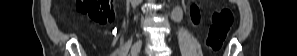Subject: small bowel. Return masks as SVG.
Returning <instances> with one entry per match:
<instances>
[{"label": "small bowel", "instance_id": "obj_1", "mask_svg": "<svg viewBox=\"0 0 297 56\" xmlns=\"http://www.w3.org/2000/svg\"><path fill=\"white\" fill-rule=\"evenodd\" d=\"M191 17L195 24H197L200 20L199 9L194 5L191 7Z\"/></svg>", "mask_w": 297, "mask_h": 56}]
</instances>
